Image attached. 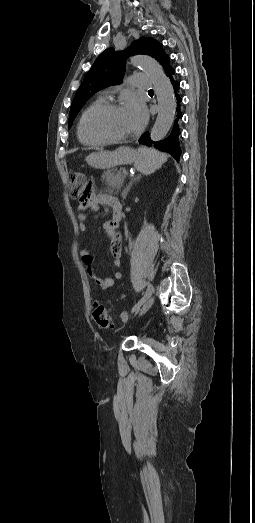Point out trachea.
<instances>
[{
	"mask_svg": "<svg viewBox=\"0 0 255 523\" xmlns=\"http://www.w3.org/2000/svg\"><path fill=\"white\" fill-rule=\"evenodd\" d=\"M148 92H153V90H148Z\"/></svg>",
	"mask_w": 255,
	"mask_h": 523,
	"instance_id": "1",
	"label": "trachea"
}]
</instances>
